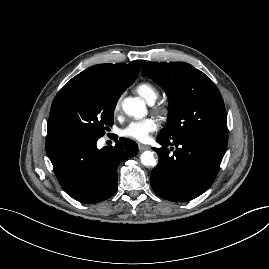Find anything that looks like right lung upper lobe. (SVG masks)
Listing matches in <instances>:
<instances>
[{
	"label": "right lung upper lobe",
	"mask_w": 269,
	"mask_h": 269,
	"mask_svg": "<svg viewBox=\"0 0 269 269\" xmlns=\"http://www.w3.org/2000/svg\"><path fill=\"white\" fill-rule=\"evenodd\" d=\"M144 63V60H139L131 64L95 65L73 77L64 87L73 85L90 87L105 85L113 90L124 92L135 81ZM55 139L57 138L47 133L46 141Z\"/></svg>",
	"instance_id": "obj_1"
}]
</instances>
